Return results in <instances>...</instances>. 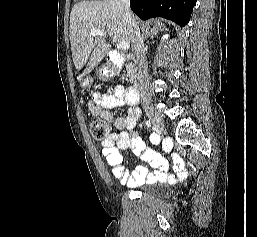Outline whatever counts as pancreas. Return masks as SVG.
Masks as SVG:
<instances>
[{"label":"pancreas","instance_id":"obj_1","mask_svg":"<svg viewBox=\"0 0 257 237\" xmlns=\"http://www.w3.org/2000/svg\"><path fill=\"white\" fill-rule=\"evenodd\" d=\"M126 71H127V76L130 81H134L136 78V68L135 65L131 62L126 63Z\"/></svg>","mask_w":257,"mask_h":237}]
</instances>
